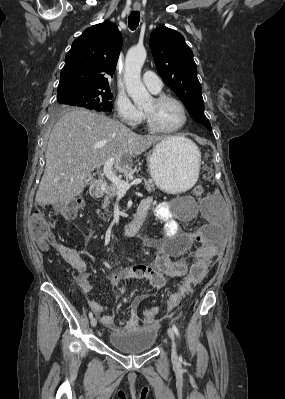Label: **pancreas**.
Segmentation results:
<instances>
[{
    "label": "pancreas",
    "instance_id": "pancreas-1",
    "mask_svg": "<svg viewBox=\"0 0 285 399\" xmlns=\"http://www.w3.org/2000/svg\"><path fill=\"white\" fill-rule=\"evenodd\" d=\"M144 185L148 192H154L155 187H154L153 181L151 179L145 180ZM117 194H118V190H117L116 186H114L113 184L107 186V188L105 190V197L103 200V205H102L103 209H105L106 212H108V207L114 201V198L117 196Z\"/></svg>",
    "mask_w": 285,
    "mask_h": 399
}]
</instances>
